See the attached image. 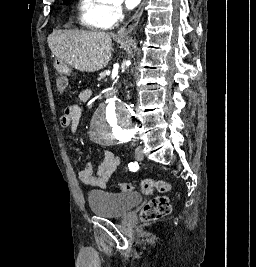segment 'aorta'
<instances>
[{
    "instance_id": "762f6f07",
    "label": "aorta",
    "mask_w": 256,
    "mask_h": 267,
    "mask_svg": "<svg viewBox=\"0 0 256 267\" xmlns=\"http://www.w3.org/2000/svg\"><path fill=\"white\" fill-rule=\"evenodd\" d=\"M92 117V127H133L131 108L122 101H101ZM119 133H128V128H89V138L93 143H116Z\"/></svg>"
}]
</instances>
